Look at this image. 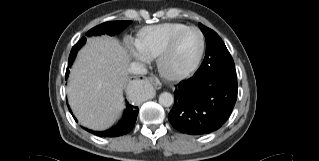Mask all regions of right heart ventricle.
<instances>
[{"instance_id": "obj_1", "label": "right heart ventricle", "mask_w": 319, "mask_h": 161, "mask_svg": "<svg viewBox=\"0 0 319 161\" xmlns=\"http://www.w3.org/2000/svg\"><path fill=\"white\" fill-rule=\"evenodd\" d=\"M186 27L188 26L183 23L168 22L141 29L135 41L138 53L145 59L158 57L169 38Z\"/></svg>"}]
</instances>
